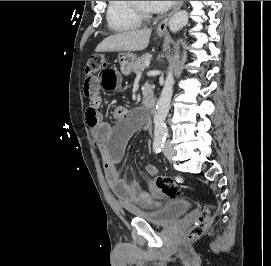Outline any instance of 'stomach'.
I'll return each instance as SVG.
<instances>
[{
    "label": "stomach",
    "mask_w": 271,
    "mask_h": 266,
    "mask_svg": "<svg viewBox=\"0 0 271 266\" xmlns=\"http://www.w3.org/2000/svg\"><path fill=\"white\" fill-rule=\"evenodd\" d=\"M158 36L162 37L163 34L158 33ZM118 59H119V62H120L121 72L124 75L129 74L130 71L132 70V66H133V64L135 62V55L133 53H130V52H122V53H119Z\"/></svg>",
    "instance_id": "0dacf381"
}]
</instances>
